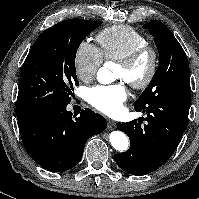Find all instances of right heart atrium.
Segmentation results:
<instances>
[{
	"label": "right heart atrium",
	"instance_id": "right-heart-atrium-1",
	"mask_svg": "<svg viewBox=\"0 0 199 199\" xmlns=\"http://www.w3.org/2000/svg\"><path fill=\"white\" fill-rule=\"evenodd\" d=\"M102 59L99 48L88 41H82L74 55V70L77 77L84 82L92 80L102 64Z\"/></svg>",
	"mask_w": 199,
	"mask_h": 199
}]
</instances>
